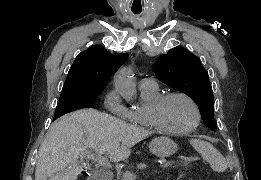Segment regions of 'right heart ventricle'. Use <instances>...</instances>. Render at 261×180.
I'll return each mask as SVG.
<instances>
[{
    "instance_id": "obj_1",
    "label": "right heart ventricle",
    "mask_w": 261,
    "mask_h": 180,
    "mask_svg": "<svg viewBox=\"0 0 261 180\" xmlns=\"http://www.w3.org/2000/svg\"><path fill=\"white\" fill-rule=\"evenodd\" d=\"M161 95L157 87L140 88L141 104L140 110L153 105L155 100ZM134 127H139L137 120L133 122Z\"/></svg>"
}]
</instances>
